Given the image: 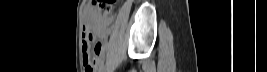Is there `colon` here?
Wrapping results in <instances>:
<instances>
[{
  "label": "colon",
  "instance_id": "colon-1",
  "mask_svg": "<svg viewBox=\"0 0 267 72\" xmlns=\"http://www.w3.org/2000/svg\"><path fill=\"white\" fill-rule=\"evenodd\" d=\"M116 2V0H93V5L97 8V10L100 12L101 16L104 19H109L113 12V5ZM91 44L90 40L88 41V44L85 46L83 51V66L84 70L89 69L93 71L95 66L97 65V53L99 50V44H96L94 46V51L91 53ZM86 72V71H85Z\"/></svg>",
  "mask_w": 267,
  "mask_h": 72
}]
</instances>
